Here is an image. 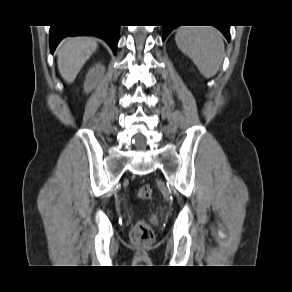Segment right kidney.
I'll return each mask as SVG.
<instances>
[{"label":"right kidney","instance_id":"ca27d5eb","mask_svg":"<svg viewBox=\"0 0 292 292\" xmlns=\"http://www.w3.org/2000/svg\"><path fill=\"white\" fill-rule=\"evenodd\" d=\"M105 67L102 64H96L92 68L89 69L86 80L84 82V91L89 93L92 89H94L104 74Z\"/></svg>","mask_w":292,"mask_h":292}]
</instances>
